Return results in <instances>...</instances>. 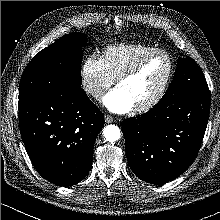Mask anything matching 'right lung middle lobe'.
Returning <instances> with one entry per match:
<instances>
[{
	"label": "right lung middle lobe",
	"mask_w": 220,
	"mask_h": 220,
	"mask_svg": "<svg viewBox=\"0 0 220 220\" xmlns=\"http://www.w3.org/2000/svg\"><path fill=\"white\" fill-rule=\"evenodd\" d=\"M86 45L83 33H71L37 53L22 74L19 100L82 92V48Z\"/></svg>",
	"instance_id": "1"
}]
</instances>
